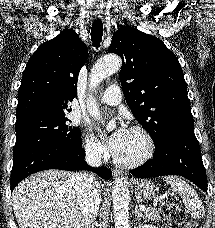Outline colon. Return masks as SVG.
<instances>
[{"instance_id":"1","label":"colon","mask_w":215,"mask_h":228,"mask_svg":"<svg viewBox=\"0 0 215 228\" xmlns=\"http://www.w3.org/2000/svg\"><path fill=\"white\" fill-rule=\"evenodd\" d=\"M159 210L166 218L164 228H197L196 224L187 219L185 211L171 199L164 198Z\"/></svg>"}]
</instances>
